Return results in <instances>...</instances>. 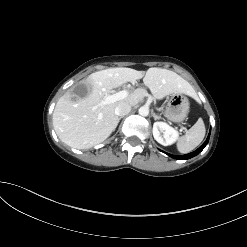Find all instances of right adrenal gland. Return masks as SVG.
I'll use <instances>...</instances> for the list:
<instances>
[{
	"label": "right adrenal gland",
	"mask_w": 247,
	"mask_h": 247,
	"mask_svg": "<svg viewBox=\"0 0 247 247\" xmlns=\"http://www.w3.org/2000/svg\"><path fill=\"white\" fill-rule=\"evenodd\" d=\"M122 118H123V117H119V118H118V122H119Z\"/></svg>",
	"instance_id": "right-adrenal-gland-1"
}]
</instances>
